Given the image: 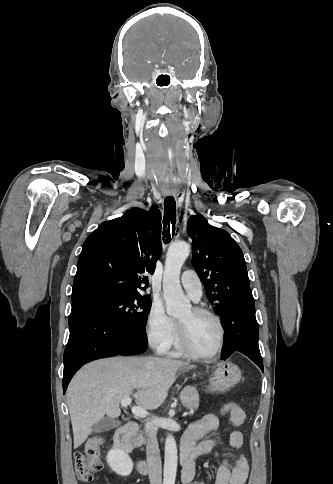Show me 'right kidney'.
<instances>
[{
  "instance_id": "1",
  "label": "right kidney",
  "mask_w": 333,
  "mask_h": 484,
  "mask_svg": "<svg viewBox=\"0 0 333 484\" xmlns=\"http://www.w3.org/2000/svg\"><path fill=\"white\" fill-rule=\"evenodd\" d=\"M109 467L118 475L128 476L133 469L132 459L120 449H111L106 457Z\"/></svg>"
}]
</instances>
